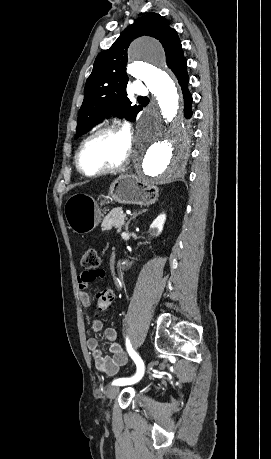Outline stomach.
I'll use <instances>...</instances> for the list:
<instances>
[{"instance_id": "stomach-1", "label": "stomach", "mask_w": 271, "mask_h": 459, "mask_svg": "<svg viewBox=\"0 0 271 459\" xmlns=\"http://www.w3.org/2000/svg\"><path fill=\"white\" fill-rule=\"evenodd\" d=\"M109 194L119 204L150 206L158 200L159 190L153 182L140 180L134 174H121L110 184ZM106 202H101V206ZM64 214L70 229L75 233H89L101 222V210L87 194H73L65 204Z\"/></svg>"}]
</instances>
